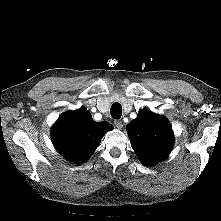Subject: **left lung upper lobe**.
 Returning <instances> with one entry per match:
<instances>
[{
  "instance_id": "left-lung-upper-lobe-1",
  "label": "left lung upper lobe",
  "mask_w": 221,
  "mask_h": 221,
  "mask_svg": "<svg viewBox=\"0 0 221 221\" xmlns=\"http://www.w3.org/2000/svg\"><path fill=\"white\" fill-rule=\"evenodd\" d=\"M127 132L133 150L146 166L155 165L172 150L174 135L169 121L150 110H140Z\"/></svg>"
}]
</instances>
